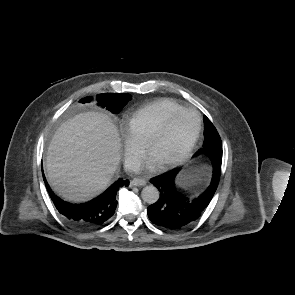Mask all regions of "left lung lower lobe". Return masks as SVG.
<instances>
[{
	"label": "left lung lower lobe",
	"mask_w": 295,
	"mask_h": 295,
	"mask_svg": "<svg viewBox=\"0 0 295 295\" xmlns=\"http://www.w3.org/2000/svg\"><path fill=\"white\" fill-rule=\"evenodd\" d=\"M205 155L212 161L213 176L210 186L199 197L191 199L175 190L174 179L179 169L150 180L160 191L158 201L147 209L148 217L154 224L168 230H178L187 227L201 216L217 189L222 163L220 152L213 151Z\"/></svg>",
	"instance_id": "left-lung-lower-lobe-1"
}]
</instances>
